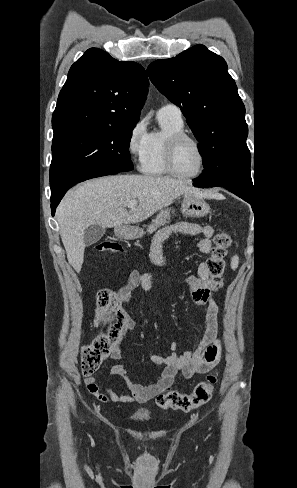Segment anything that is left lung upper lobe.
<instances>
[{
	"label": "left lung upper lobe",
	"mask_w": 297,
	"mask_h": 488,
	"mask_svg": "<svg viewBox=\"0 0 297 488\" xmlns=\"http://www.w3.org/2000/svg\"><path fill=\"white\" fill-rule=\"evenodd\" d=\"M147 73L155 87L181 108L199 141L204 171L194 184L228 185L253 194L245 106L225 60L199 44L174 58L152 62Z\"/></svg>",
	"instance_id": "obj_1"
}]
</instances>
